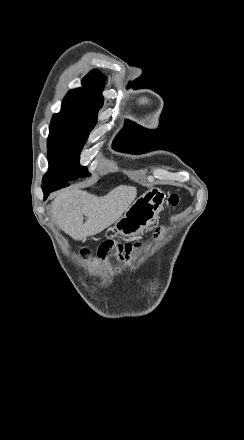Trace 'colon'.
<instances>
[{"label": "colon", "instance_id": "1", "mask_svg": "<svg viewBox=\"0 0 244 440\" xmlns=\"http://www.w3.org/2000/svg\"><path fill=\"white\" fill-rule=\"evenodd\" d=\"M180 201V198L177 194H172L169 197V203L172 206H176ZM159 235L157 234L156 237ZM116 246V253L119 255L120 260L123 263H128L131 261L132 252L138 250L139 248L143 247L141 243H135V244H114L112 242H104L102 243L98 248V255L101 257H106L112 253V248ZM79 254L84 257L86 262H96L99 259V256L96 253H92V251L89 248H82L79 251Z\"/></svg>", "mask_w": 244, "mask_h": 440}]
</instances>
